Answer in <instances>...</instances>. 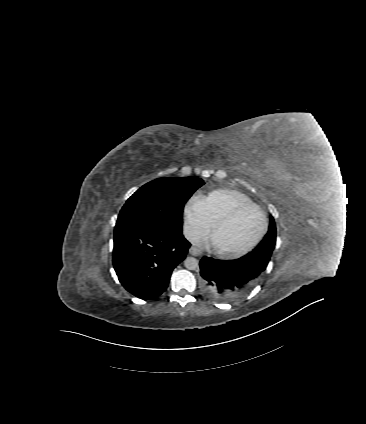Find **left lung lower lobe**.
<instances>
[{
    "mask_svg": "<svg viewBox=\"0 0 366 424\" xmlns=\"http://www.w3.org/2000/svg\"><path fill=\"white\" fill-rule=\"evenodd\" d=\"M267 264L250 254L223 261L204 256L200 261V290L218 302L237 300L256 286Z\"/></svg>",
    "mask_w": 366,
    "mask_h": 424,
    "instance_id": "0a47b994",
    "label": "left lung lower lobe"
}]
</instances>
